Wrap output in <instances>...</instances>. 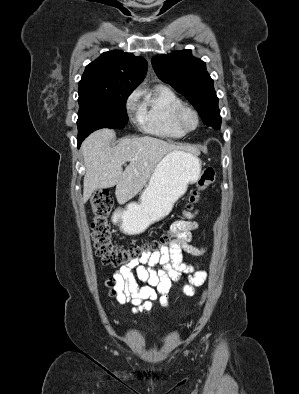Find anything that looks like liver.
I'll use <instances>...</instances> for the list:
<instances>
[{"instance_id":"liver-1","label":"liver","mask_w":299,"mask_h":394,"mask_svg":"<svg viewBox=\"0 0 299 394\" xmlns=\"http://www.w3.org/2000/svg\"><path fill=\"white\" fill-rule=\"evenodd\" d=\"M115 132L101 129L89 135L82 144L86 174L83 181V202L101 188L116 185L115 195L124 204L135 197L151 178L159 162L179 145L151 136L125 138L117 146L110 142ZM130 161L123 171L122 165Z\"/></svg>"}]
</instances>
